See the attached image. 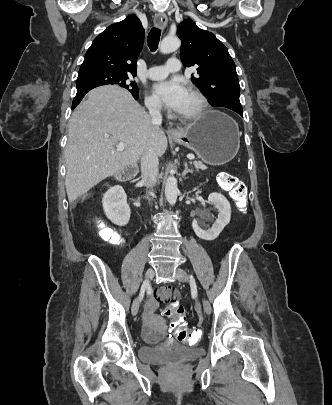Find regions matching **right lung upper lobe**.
I'll list each match as a JSON object with an SVG mask.
<instances>
[{
  "instance_id": "right-lung-upper-lobe-1",
  "label": "right lung upper lobe",
  "mask_w": 332,
  "mask_h": 405,
  "mask_svg": "<svg viewBox=\"0 0 332 405\" xmlns=\"http://www.w3.org/2000/svg\"><path fill=\"white\" fill-rule=\"evenodd\" d=\"M144 41V29L135 15L110 25L99 34L85 54L79 74L104 71L136 75Z\"/></svg>"
}]
</instances>
